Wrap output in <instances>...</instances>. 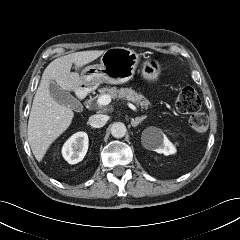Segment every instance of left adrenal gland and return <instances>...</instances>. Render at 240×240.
Masks as SVG:
<instances>
[{"instance_id": "a2214340", "label": "left adrenal gland", "mask_w": 240, "mask_h": 240, "mask_svg": "<svg viewBox=\"0 0 240 240\" xmlns=\"http://www.w3.org/2000/svg\"><path fill=\"white\" fill-rule=\"evenodd\" d=\"M146 118V116H142V117H136L135 119L131 120V125L133 127L138 126L139 123H141L144 119Z\"/></svg>"}]
</instances>
